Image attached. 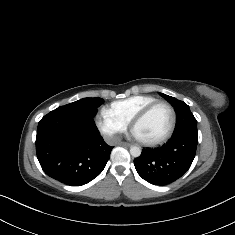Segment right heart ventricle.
Wrapping results in <instances>:
<instances>
[{
	"instance_id": "e07e8e85",
	"label": "right heart ventricle",
	"mask_w": 235,
	"mask_h": 235,
	"mask_svg": "<svg viewBox=\"0 0 235 235\" xmlns=\"http://www.w3.org/2000/svg\"><path fill=\"white\" fill-rule=\"evenodd\" d=\"M158 100V98L151 94H137L113 102L110 105V110L117 118L127 125L131 123L134 116L146 106Z\"/></svg>"
}]
</instances>
